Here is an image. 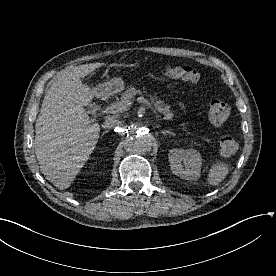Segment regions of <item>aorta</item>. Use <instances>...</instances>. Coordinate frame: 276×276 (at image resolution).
I'll use <instances>...</instances> for the list:
<instances>
[{
    "instance_id": "1",
    "label": "aorta",
    "mask_w": 276,
    "mask_h": 276,
    "mask_svg": "<svg viewBox=\"0 0 276 276\" xmlns=\"http://www.w3.org/2000/svg\"><path fill=\"white\" fill-rule=\"evenodd\" d=\"M126 149L134 154H145L152 149V136L135 125L126 126L123 131Z\"/></svg>"
}]
</instances>
